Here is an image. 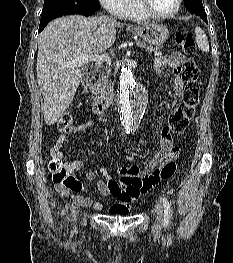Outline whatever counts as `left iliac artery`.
<instances>
[{"mask_svg": "<svg viewBox=\"0 0 233 263\" xmlns=\"http://www.w3.org/2000/svg\"><path fill=\"white\" fill-rule=\"evenodd\" d=\"M163 201V206H164V219H163V223L164 226H167L169 223V220L171 218V214H170V204L169 201L167 200V198L163 197L162 198Z\"/></svg>", "mask_w": 233, "mask_h": 263, "instance_id": "44dca946", "label": "left iliac artery"}]
</instances>
